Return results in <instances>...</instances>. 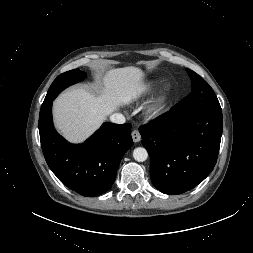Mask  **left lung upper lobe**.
Listing matches in <instances>:
<instances>
[{
  "label": "left lung upper lobe",
  "instance_id": "obj_1",
  "mask_svg": "<svg viewBox=\"0 0 253 253\" xmlns=\"http://www.w3.org/2000/svg\"><path fill=\"white\" fill-rule=\"evenodd\" d=\"M192 81L191 93L177 103L174 110H197V109H213L221 110L219 101L213 89L206 81L197 73L190 69H186Z\"/></svg>",
  "mask_w": 253,
  "mask_h": 253
}]
</instances>
